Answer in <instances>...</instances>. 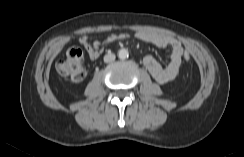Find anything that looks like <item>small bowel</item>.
<instances>
[{
    "label": "small bowel",
    "mask_w": 244,
    "mask_h": 157,
    "mask_svg": "<svg viewBox=\"0 0 244 157\" xmlns=\"http://www.w3.org/2000/svg\"><path fill=\"white\" fill-rule=\"evenodd\" d=\"M127 37V33L111 35L108 37V42L110 43L116 40H123ZM135 38L143 42L154 44L158 47L170 48V61L166 66H162L151 55L146 56L143 60V63L153 79L159 84H166L173 81L179 73L182 55L184 52L181 43L175 38L168 35L150 31L137 32L135 34ZM80 43L84 46V48L88 52L89 57L93 60L97 59L100 56L104 46L103 44L96 40H93L89 36L81 37Z\"/></svg>",
    "instance_id": "c3829d8e"
}]
</instances>
